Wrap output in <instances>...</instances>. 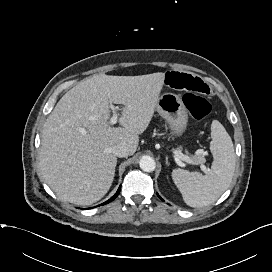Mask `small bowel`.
<instances>
[{
    "mask_svg": "<svg viewBox=\"0 0 272 272\" xmlns=\"http://www.w3.org/2000/svg\"><path fill=\"white\" fill-rule=\"evenodd\" d=\"M164 82L170 88L191 94L206 96L211 93L210 86L200 77L179 71L165 74Z\"/></svg>",
    "mask_w": 272,
    "mask_h": 272,
    "instance_id": "small-bowel-1",
    "label": "small bowel"
}]
</instances>
